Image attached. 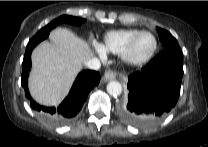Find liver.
I'll use <instances>...</instances> for the list:
<instances>
[{"label":"liver","mask_w":208,"mask_h":147,"mask_svg":"<svg viewBox=\"0 0 208 147\" xmlns=\"http://www.w3.org/2000/svg\"><path fill=\"white\" fill-rule=\"evenodd\" d=\"M50 40L33 50L29 78L31 95L46 106L61 103L83 64L93 56L89 44L68 29H54Z\"/></svg>","instance_id":"6515ba94"}]
</instances>
